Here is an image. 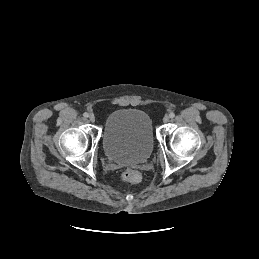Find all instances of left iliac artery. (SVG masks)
I'll return each mask as SVG.
<instances>
[{
    "label": "left iliac artery",
    "instance_id": "1",
    "mask_svg": "<svg viewBox=\"0 0 259 259\" xmlns=\"http://www.w3.org/2000/svg\"><path fill=\"white\" fill-rule=\"evenodd\" d=\"M169 117H170V118H174V117H175V113L171 112V113L169 114Z\"/></svg>",
    "mask_w": 259,
    "mask_h": 259
}]
</instances>
